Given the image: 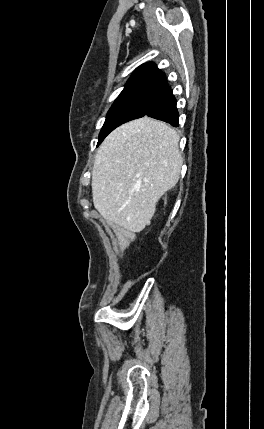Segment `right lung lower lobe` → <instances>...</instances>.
<instances>
[{
  "label": "right lung lower lobe",
  "instance_id": "obj_1",
  "mask_svg": "<svg viewBox=\"0 0 264 429\" xmlns=\"http://www.w3.org/2000/svg\"><path fill=\"white\" fill-rule=\"evenodd\" d=\"M146 115L168 122L175 127L178 126L179 114L176 108V99L174 98L172 90L168 85L162 89L161 94L151 105Z\"/></svg>",
  "mask_w": 264,
  "mask_h": 429
}]
</instances>
